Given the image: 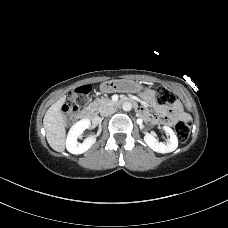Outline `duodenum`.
<instances>
[{"label": "duodenum", "instance_id": "1", "mask_svg": "<svg viewBox=\"0 0 228 228\" xmlns=\"http://www.w3.org/2000/svg\"><path fill=\"white\" fill-rule=\"evenodd\" d=\"M134 103L132 99H123L112 102L113 105L120 106L123 104ZM80 118L83 120H92L94 118V112L92 109H84L80 112Z\"/></svg>", "mask_w": 228, "mask_h": 228}]
</instances>
